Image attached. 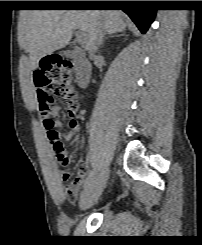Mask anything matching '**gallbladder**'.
I'll return each mask as SVG.
<instances>
[{
  "mask_svg": "<svg viewBox=\"0 0 202 245\" xmlns=\"http://www.w3.org/2000/svg\"><path fill=\"white\" fill-rule=\"evenodd\" d=\"M62 55H64L67 58H72V57L77 56V52L72 51V50H65L62 52Z\"/></svg>",
  "mask_w": 202,
  "mask_h": 245,
  "instance_id": "gallbladder-1",
  "label": "gallbladder"
}]
</instances>
